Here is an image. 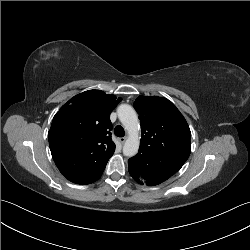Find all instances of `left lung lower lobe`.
<instances>
[{"label": "left lung lower lobe", "instance_id": "left-lung-lower-lobe-1", "mask_svg": "<svg viewBox=\"0 0 250 250\" xmlns=\"http://www.w3.org/2000/svg\"><path fill=\"white\" fill-rule=\"evenodd\" d=\"M128 170L135 181L148 186L160 184L178 171L170 167L158 166L142 153H137L129 159Z\"/></svg>", "mask_w": 250, "mask_h": 250}]
</instances>
